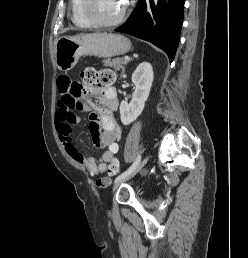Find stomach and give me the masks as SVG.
I'll use <instances>...</instances> for the list:
<instances>
[{
	"instance_id": "1",
	"label": "stomach",
	"mask_w": 248,
	"mask_h": 258,
	"mask_svg": "<svg viewBox=\"0 0 248 258\" xmlns=\"http://www.w3.org/2000/svg\"><path fill=\"white\" fill-rule=\"evenodd\" d=\"M131 42L120 34L92 33L61 36L55 41V62L60 71L71 70L81 56L113 57L127 53Z\"/></svg>"
}]
</instances>
